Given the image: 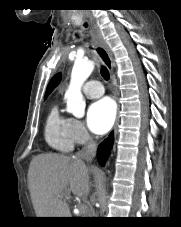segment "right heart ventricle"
I'll return each instance as SVG.
<instances>
[{"label": "right heart ventricle", "mask_w": 181, "mask_h": 227, "mask_svg": "<svg viewBox=\"0 0 181 227\" xmlns=\"http://www.w3.org/2000/svg\"><path fill=\"white\" fill-rule=\"evenodd\" d=\"M70 118L64 116L57 104L53 105L48 112L44 135L47 144L60 152H70L74 147V142L69 134Z\"/></svg>", "instance_id": "obj_1"}]
</instances>
